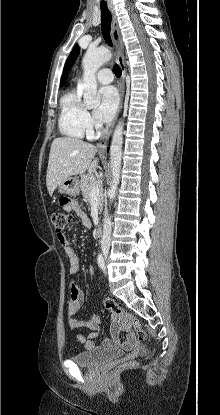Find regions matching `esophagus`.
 I'll return each mask as SVG.
<instances>
[{
	"instance_id": "34e87169",
	"label": "esophagus",
	"mask_w": 220,
	"mask_h": 415,
	"mask_svg": "<svg viewBox=\"0 0 220 415\" xmlns=\"http://www.w3.org/2000/svg\"><path fill=\"white\" fill-rule=\"evenodd\" d=\"M108 8H109V10L111 12V15H112L111 35H112V39H113V42H114V45H115V50H116V55H117V62L120 66L122 74H121V78H120L119 84H118L119 94H120V104H119V109H118L117 116H116L115 120L113 121V123H112L111 127L109 128V130L105 133V135L103 136V138L101 139V141L98 144L99 152L102 153V154L106 152L108 140L110 138V135L113 131V128H114L115 123L117 121V118L119 116L120 110L122 108V104H123V100H124V93H125V75H126L124 47H123V44H122V41H121V35H120V30H119V25H118L116 12H115V9H114V7L111 3H108Z\"/></svg>"
}]
</instances>
